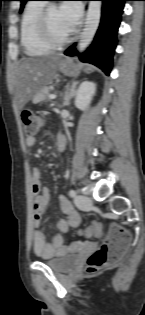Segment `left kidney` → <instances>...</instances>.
Here are the masks:
<instances>
[{
    "label": "left kidney",
    "mask_w": 145,
    "mask_h": 315,
    "mask_svg": "<svg viewBox=\"0 0 145 315\" xmlns=\"http://www.w3.org/2000/svg\"><path fill=\"white\" fill-rule=\"evenodd\" d=\"M96 91V84L90 81H84L78 88L75 105L78 109L84 111L90 104Z\"/></svg>",
    "instance_id": "obj_1"
}]
</instances>
